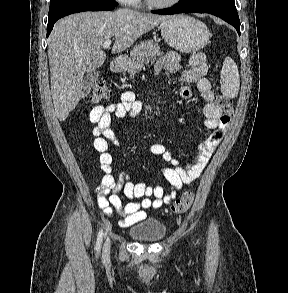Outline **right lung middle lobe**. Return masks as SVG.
I'll return each mask as SVG.
<instances>
[{
    "label": "right lung middle lobe",
    "mask_w": 288,
    "mask_h": 293,
    "mask_svg": "<svg viewBox=\"0 0 288 293\" xmlns=\"http://www.w3.org/2000/svg\"><path fill=\"white\" fill-rule=\"evenodd\" d=\"M79 5H95L100 7H116L115 0H50L48 17H51L65 9Z\"/></svg>",
    "instance_id": "obj_1"
}]
</instances>
